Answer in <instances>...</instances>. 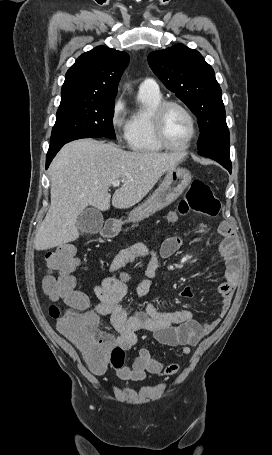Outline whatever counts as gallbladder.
<instances>
[{
    "label": "gallbladder",
    "instance_id": "gallbladder-1",
    "mask_svg": "<svg viewBox=\"0 0 272 455\" xmlns=\"http://www.w3.org/2000/svg\"><path fill=\"white\" fill-rule=\"evenodd\" d=\"M76 225L82 233L95 234L102 228L103 217L99 211L89 208L78 216Z\"/></svg>",
    "mask_w": 272,
    "mask_h": 455
}]
</instances>
